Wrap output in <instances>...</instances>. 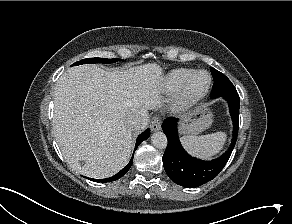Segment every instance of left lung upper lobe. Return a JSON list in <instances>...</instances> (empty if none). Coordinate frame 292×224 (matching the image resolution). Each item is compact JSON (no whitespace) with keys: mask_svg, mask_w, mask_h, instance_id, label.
Masks as SVG:
<instances>
[{"mask_svg":"<svg viewBox=\"0 0 292 224\" xmlns=\"http://www.w3.org/2000/svg\"><path fill=\"white\" fill-rule=\"evenodd\" d=\"M210 70L214 79V84L210 96L212 99L236 91L234 85L224 74L217 71L213 67H211Z\"/></svg>","mask_w":292,"mask_h":224,"instance_id":"1","label":"left lung upper lobe"}]
</instances>
